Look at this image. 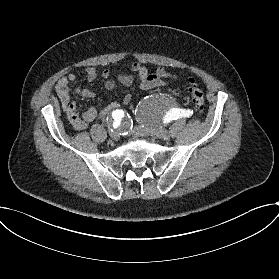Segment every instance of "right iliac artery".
<instances>
[{
    "label": "right iliac artery",
    "mask_w": 279,
    "mask_h": 279,
    "mask_svg": "<svg viewBox=\"0 0 279 279\" xmlns=\"http://www.w3.org/2000/svg\"><path fill=\"white\" fill-rule=\"evenodd\" d=\"M123 116H124V112L122 110H116V111L112 112V117L114 119V122H113L114 128L119 127L120 120Z\"/></svg>",
    "instance_id": "1"
}]
</instances>
